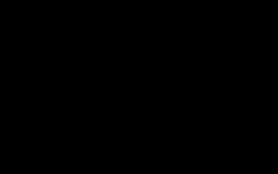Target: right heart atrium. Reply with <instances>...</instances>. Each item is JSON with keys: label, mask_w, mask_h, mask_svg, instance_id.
I'll use <instances>...</instances> for the list:
<instances>
[{"label": "right heart atrium", "mask_w": 278, "mask_h": 174, "mask_svg": "<svg viewBox=\"0 0 278 174\" xmlns=\"http://www.w3.org/2000/svg\"><path fill=\"white\" fill-rule=\"evenodd\" d=\"M119 68L120 71L124 74L126 77H130L134 74H136V70L133 68V66L127 61V60H121L119 62Z\"/></svg>", "instance_id": "obj_1"}]
</instances>
